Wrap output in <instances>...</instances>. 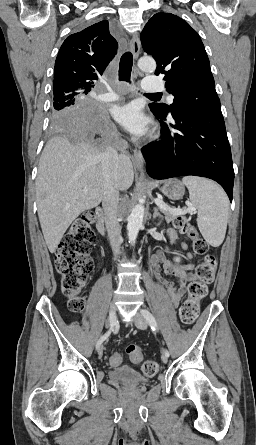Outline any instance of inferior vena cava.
Masks as SVG:
<instances>
[{"label":"inferior vena cava","mask_w":256,"mask_h":445,"mask_svg":"<svg viewBox=\"0 0 256 445\" xmlns=\"http://www.w3.org/2000/svg\"><path fill=\"white\" fill-rule=\"evenodd\" d=\"M119 156L114 147H108L102 154L104 190L102 206L110 244L115 256L119 254L122 243L121 230L117 218L119 204L118 188Z\"/></svg>","instance_id":"1"}]
</instances>
